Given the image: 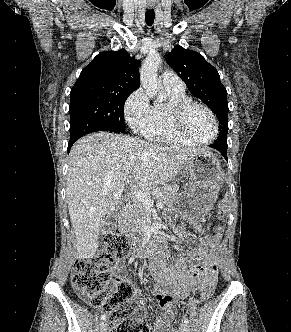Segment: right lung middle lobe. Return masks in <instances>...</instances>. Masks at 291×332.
<instances>
[{
    "label": "right lung middle lobe",
    "instance_id": "right-lung-middle-lobe-1",
    "mask_svg": "<svg viewBox=\"0 0 291 332\" xmlns=\"http://www.w3.org/2000/svg\"><path fill=\"white\" fill-rule=\"evenodd\" d=\"M131 93L112 92L80 96L70 99V120L80 117L95 119L101 131L124 133V103Z\"/></svg>",
    "mask_w": 291,
    "mask_h": 332
}]
</instances>
